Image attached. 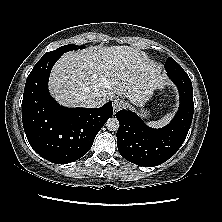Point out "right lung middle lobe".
<instances>
[{
	"label": "right lung middle lobe",
	"mask_w": 222,
	"mask_h": 222,
	"mask_svg": "<svg viewBox=\"0 0 222 222\" xmlns=\"http://www.w3.org/2000/svg\"><path fill=\"white\" fill-rule=\"evenodd\" d=\"M85 46H78V45H74V44H70V45H64L59 47L58 49L54 50V51H50L45 53L42 57L45 56H50V55H62L65 52L71 51V50H78V49H82Z\"/></svg>",
	"instance_id": "1"
}]
</instances>
